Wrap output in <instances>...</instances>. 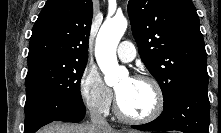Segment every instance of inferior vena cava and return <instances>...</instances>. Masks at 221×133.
Here are the masks:
<instances>
[{
    "label": "inferior vena cava",
    "instance_id": "602c4592",
    "mask_svg": "<svg viewBox=\"0 0 221 133\" xmlns=\"http://www.w3.org/2000/svg\"><path fill=\"white\" fill-rule=\"evenodd\" d=\"M90 117L92 124L100 130L110 127L105 117L98 111H91Z\"/></svg>",
    "mask_w": 221,
    "mask_h": 133
}]
</instances>
